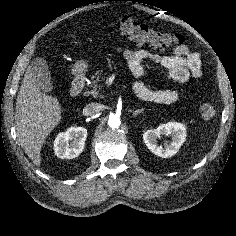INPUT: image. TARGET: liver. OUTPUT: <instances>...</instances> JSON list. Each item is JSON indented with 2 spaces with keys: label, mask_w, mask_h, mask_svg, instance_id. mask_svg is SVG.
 I'll use <instances>...</instances> for the list:
<instances>
[{
  "label": "liver",
  "mask_w": 236,
  "mask_h": 236,
  "mask_svg": "<svg viewBox=\"0 0 236 236\" xmlns=\"http://www.w3.org/2000/svg\"><path fill=\"white\" fill-rule=\"evenodd\" d=\"M61 105L43 93L28 67L16 99L15 127L18 141L36 166L46 137L61 121Z\"/></svg>",
  "instance_id": "6515ba94"
}]
</instances>
